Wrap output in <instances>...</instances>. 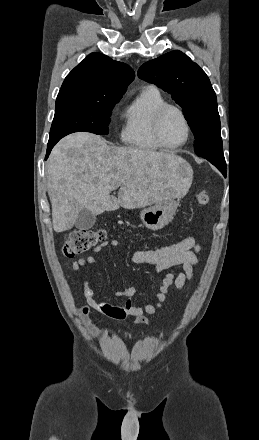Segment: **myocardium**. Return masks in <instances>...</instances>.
<instances>
[{
	"instance_id": "obj_1",
	"label": "myocardium",
	"mask_w": 259,
	"mask_h": 440,
	"mask_svg": "<svg viewBox=\"0 0 259 440\" xmlns=\"http://www.w3.org/2000/svg\"><path fill=\"white\" fill-rule=\"evenodd\" d=\"M170 110H173V111L178 113V115L181 117V119H182V121L184 123L185 129H186L185 139L181 143L176 144V145H167L163 141L162 136H161V124H162L163 118H164L165 114L168 111H170ZM153 136H154V139L157 142V144L161 148L166 149V150H176V149H179V148L183 147L184 145H186L187 142L189 141L190 137H191V126H190V123H189V121H188L184 111L180 107H178L176 105H173V104H165V105H163L157 111V113H156V115L154 117V121H153Z\"/></svg>"
}]
</instances>
